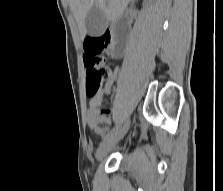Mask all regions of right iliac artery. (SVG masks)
I'll use <instances>...</instances> for the list:
<instances>
[{
	"label": "right iliac artery",
	"mask_w": 223,
	"mask_h": 191,
	"mask_svg": "<svg viewBox=\"0 0 223 191\" xmlns=\"http://www.w3.org/2000/svg\"><path fill=\"white\" fill-rule=\"evenodd\" d=\"M118 131V127L116 129H113L112 131H110L105 137L104 140L109 138L114 132Z\"/></svg>",
	"instance_id": "1"
}]
</instances>
